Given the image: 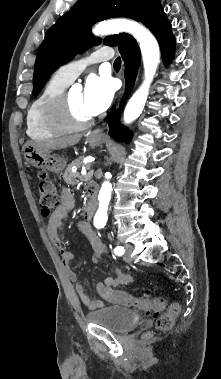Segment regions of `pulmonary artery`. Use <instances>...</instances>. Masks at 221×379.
I'll return each mask as SVG.
<instances>
[{"label":"pulmonary artery","mask_w":221,"mask_h":379,"mask_svg":"<svg viewBox=\"0 0 221 379\" xmlns=\"http://www.w3.org/2000/svg\"><path fill=\"white\" fill-rule=\"evenodd\" d=\"M113 57V51L110 48H101L92 52L88 57L68 63L60 67L56 75L68 83L73 82L78 75L91 63H98L109 60Z\"/></svg>","instance_id":"pulmonary-artery-1"}]
</instances>
